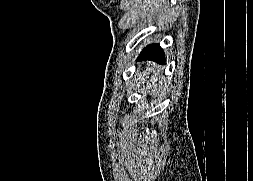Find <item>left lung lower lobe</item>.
<instances>
[{"mask_svg": "<svg viewBox=\"0 0 253 181\" xmlns=\"http://www.w3.org/2000/svg\"><path fill=\"white\" fill-rule=\"evenodd\" d=\"M151 59L158 63H164V53L158 44L148 45L139 55L137 60Z\"/></svg>", "mask_w": 253, "mask_h": 181, "instance_id": "0a47b994", "label": "left lung lower lobe"}]
</instances>
